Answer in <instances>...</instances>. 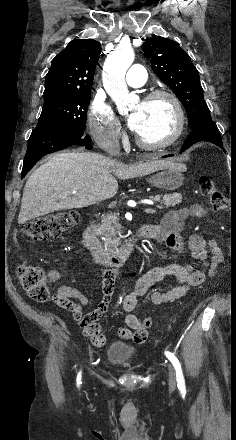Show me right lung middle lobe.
I'll use <instances>...</instances> for the list:
<instances>
[{"label":"right lung middle lobe","mask_w":236,"mask_h":440,"mask_svg":"<svg viewBox=\"0 0 236 440\" xmlns=\"http://www.w3.org/2000/svg\"><path fill=\"white\" fill-rule=\"evenodd\" d=\"M91 93L44 103L35 129L85 131Z\"/></svg>","instance_id":"1"}]
</instances>
